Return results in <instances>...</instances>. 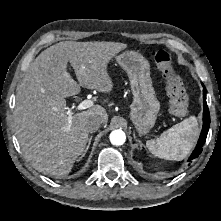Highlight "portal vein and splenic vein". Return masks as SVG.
I'll return each instance as SVG.
<instances>
[{"mask_svg":"<svg viewBox=\"0 0 221 221\" xmlns=\"http://www.w3.org/2000/svg\"><path fill=\"white\" fill-rule=\"evenodd\" d=\"M93 101L92 100H83L82 102H80L77 106V110H84V109H88L90 107L93 106ZM72 111L68 110L67 111V115H68V123H67V129H70V126L72 124Z\"/></svg>","mask_w":221,"mask_h":221,"instance_id":"1","label":"portal vein and splenic vein"}]
</instances>
